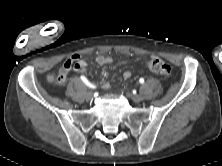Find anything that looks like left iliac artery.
I'll use <instances>...</instances> for the list:
<instances>
[{"instance_id":"44dca946","label":"left iliac artery","mask_w":222,"mask_h":166,"mask_svg":"<svg viewBox=\"0 0 222 166\" xmlns=\"http://www.w3.org/2000/svg\"><path fill=\"white\" fill-rule=\"evenodd\" d=\"M139 82H140L141 84H143V83H144V79H143V78H140V79H139Z\"/></svg>"}]
</instances>
